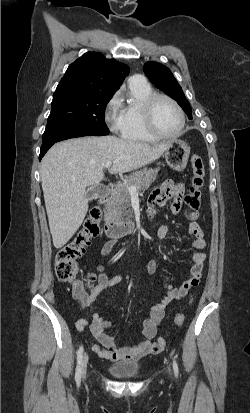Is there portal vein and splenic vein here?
<instances>
[{"instance_id":"obj_1","label":"portal vein and splenic vein","mask_w":250,"mask_h":413,"mask_svg":"<svg viewBox=\"0 0 250 413\" xmlns=\"http://www.w3.org/2000/svg\"><path fill=\"white\" fill-rule=\"evenodd\" d=\"M112 164H113L112 162L106 163L105 168H110V167L112 166ZM129 192H130L131 194H136V193H137V188L134 187V186H130V187H129Z\"/></svg>"}]
</instances>
